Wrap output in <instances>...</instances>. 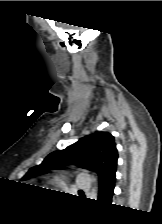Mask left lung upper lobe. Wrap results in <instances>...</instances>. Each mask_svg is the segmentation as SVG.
<instances>
[{"instance_id": "obj_1", "label": "left lung upper lobe", "mask_w": 162, "mask_h": 224, "mask_svg": "<svg viewBox=\"0 0 162 224\" xmlns=\"http://www.w3.org/2000/svg\"><path fill=\"white\" fill-rule=\"evenodd\" d=\"M118 152L114 137L108 132H96L85 136L63 150L50 153L44 161L24 175L23 180L39 175L57 166L76 164L96 171L101 184L112 172L116 171Z\"/></svg>"}]
</instances>
